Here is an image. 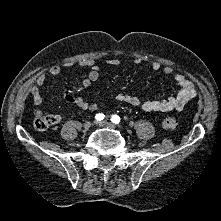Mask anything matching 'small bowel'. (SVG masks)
<instances>
[{
    "label": "small bowel",
    "instance_id": "obj_1",
    "mask_svg": "<svg viewBox=\"0 0 221 221\" xmlns=\"http://www.w3.org/2000/svg\"><path fill=\"white\" fill-rule=\"evenodd\" d=\"M141 61L135 59V63L139 64ZM108 65L117 66L119 61L117 59L106 60ZM72 63H68L70 66ZM78 65L83 68H88L89 72L87 76L82 81V87L88 88L92 86L99 78V66L96 64L95 60L86 58L78 62ZM150 68L153 71H162L165 75H172L174 82L178 86V92L169 98L162 99H141L140 97L128 94V93H118L116 99L119 102L128 104L133 107L140 108L144 111L151 112H168V111H181L184 106L195 97V89L193 83L188 80L183 74L178 72H173V69L169 66H162L157 61H152L150 63ZM52 75H59L61 73V68L57 65L51 66L49 70ZM46 81L45 75L41 74L38 76L34 85L29 88V93L31 95L34 105L41 106L43 104V98L40 92V88L44 86ZM64 99L72 104L77 105L79 108L84 110L96 111L98 105L96 103L88 102L83 95H76L66 91H61ZM58 121H60L63 116L60 114L56 115Z\"/></svg>",
    "mask_w": 221,
    "mask_h": 221
}]
</instances>
